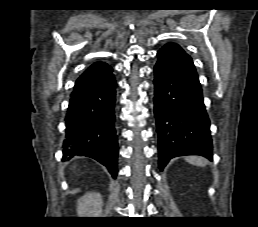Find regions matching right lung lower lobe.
<instances>
[{
    "instance_id": "1",
    "label": "right lung lower lobe",
    "mask_w": 258,
    "mask_h": 227,
    "mask_svg": "<svg viewBox=\"0 0 258 227\" xmlns=\"http://www.w3.org/2000/svg\"><path fill=\"white\" fill-rule=\"evenodd\" d=\"M104 62L92 64L75 82L66 114L63 153L91 157L116 177L118 142L114 106L116 80Z\"/></svg>"
}]
</instances>
